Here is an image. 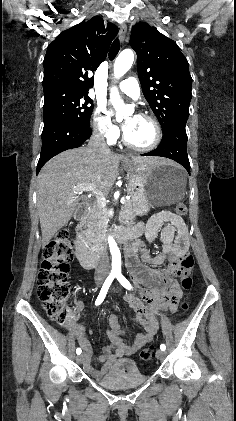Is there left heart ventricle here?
I'll return each instance as SVG.
<instances>
[{
  "label": "left heart ventricle",
  "mask_w": 236,
  "mask_h": 421,
  "mask_svg": "<svg viewBox=\"0 0 236 421\" xmlns=\"http://www.w3.org/2000/svg\"><path fill=\"white\" fill-rule=\"evenodd\" d=\"M126 122H130L129 128L125 131L127 139L138 146H147L154 139L152 125L138 115L130 114Z\"/></svg>",
  "instance_id": "b2bd125f"
}]
</instances>
